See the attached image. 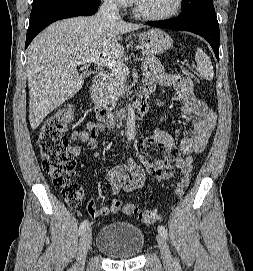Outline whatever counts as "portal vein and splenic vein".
Segmentation results:
<instances>
[{
  "label": "portal vein and splenic vein",
  "instance_id": "18ae733b",
  "mask_svg": "<svg viewBox=\"0 0 253 271\" xmlns=\"http://www.w3.org/2000/svg\"><path fill=\"white\" fill-rule=\"evenodd\" d=\"M91 63H93L97 66L107 67V68L112 69L113 71H115L116 73H119L121 75H128L129 74V69L124 63L114 61V60L103 59L100 57V55L98 53L94 54L92 57H90L88 59H84L82 61H77L75 63V65L76 66L77 65H86V64H91ZM141 69L145 71L148 69V66L146 64H143Z\"/></svg>",
  "mask_w": 253,
  "mask_h": 271
}]
</instances>
